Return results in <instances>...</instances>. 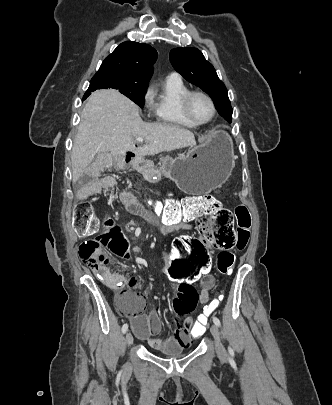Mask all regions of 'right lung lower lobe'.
Here are the masks:
<instances>
[{
  "mask_svg": "<svg viewBox=\"0 0 332 405\" xmlns=\"http://www.w3.org/2000/svg\"><path fill=\"white\" fill-rule=\"evenodd\" d=\"M90 94H91V91H87L83 97V100H85Z\"/></svg>",
  "mask_w": 332,
  "mask_h": 405,
  "instance_id": "obj_1",
  "label": "right lung lower lobe"
}]
</instances>
